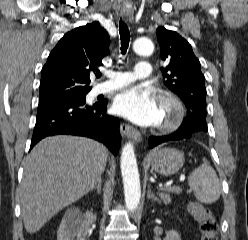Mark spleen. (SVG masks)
<instances>
[{
  "label": "spleen",
  "instance_id": "obj_1",
  "mask_svg": "<svg viewBox=\"0 0 248 240\" xmlns=\"http://www.w3.org/2000/svg\"><path fill=\"white\" fill-rule=\"evenodd\" d=\"M188 184L196 199L205 204L217 201L221 194V185L213 167L203 158V163L188 177Z\"/></svg>",
  "mask_w": 248,
  "mask_h": 240
}]
</instances>
